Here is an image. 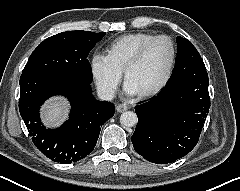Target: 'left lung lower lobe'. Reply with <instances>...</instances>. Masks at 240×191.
I'll return each instance as SVG.
<instances>
[{
    "label": "left lung lower lobe",
    "instance_id": "1",
    "mask_svg": "<svg viewBox=\"0 0 240 191\" xmlns=\"http://www.w3.org/2000/svg\"><path fill=\"white\" fill-rule=\"evenodd\" d=\"M207 72L178 65L159 94L135 107L132 143L150 162L167 164L197 144L210 108Z\"/></svg>",
    "mask_w": 240,
    "mask_h": 191
}]
</instances>
